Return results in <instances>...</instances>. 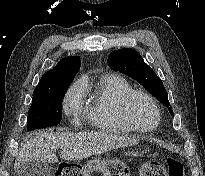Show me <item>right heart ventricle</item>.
<instances>
[{
    "label": "right heart ventricle",
    "instance_id": "1",
    "mask_svg": "<svg viewBox=\"0 0 205 176\" xmlns=\"http://www.w3.org/2000/svg\"><path fill=\"white\" fill-rule=\"evenodd\" d=\"M131 90L132 85L120 75L105 74L97 80L89 93L87 113L98 131L110 134L134 131L121 112L122 99Z\"/></svg>",
    "mask_w": 205,
    "mask_h": 176
}]
</instances>
